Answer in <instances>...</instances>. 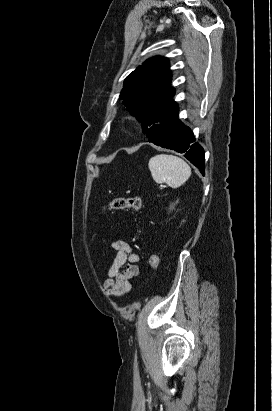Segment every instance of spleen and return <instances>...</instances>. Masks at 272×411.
Masks as SVG:
<instances>
[{
    "label": "spleen",
    "instance_id": "spleen-1",
    "mask_svg": "<svg viewBox=\"0 0 272 411\" xmlns=\"http://www.w3.org/2000/svg\"><path fill=\"white\" fill-rule=\"evenodd\" d=\"M148 167L155 182H166L172 188L180 187L191 176L190 166L174 155L158 154L149 160Z\"/></svg>",
    "mask_w": 272,
    "mask_h": 411
}]
</instances>
